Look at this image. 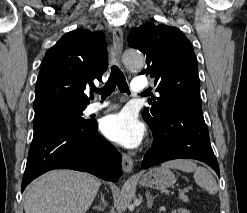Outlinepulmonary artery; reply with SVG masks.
Listing matches in <instances>:
<instances>
[{"label":"pulmonary artery","instance_id":"obj_1","mask_svg":"<svg viewBox=\"0 0 247 213\" xmlns=\"http://www.w3.org/2000/svg\"><path fill=\"white\" fill-rule=\"evenodd\" d=\"M148 78L147 77H137L133 80L132 85H131V89L133 92L137 93V92H143L147 86H148ZM110 105L109 101H104V102H93L88 106V112L90 113H94V112H98L102 109H105L106 107H108Z\"/></svg>","mask_w":247,"mask_h":213}]
</instances>
